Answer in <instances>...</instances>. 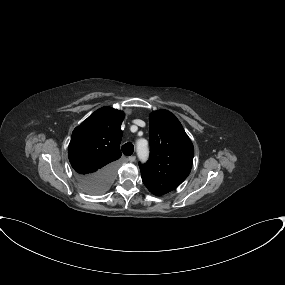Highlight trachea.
Instances as JSON below:
<instances>
[{
    "instance_id": "trachea-1",
    "label": "trachea",
    "mask_w": 285,
    "mask_h": 285,
    "mask_svg": "<svg viewBox=\"0 0 285 285\" xmlns=\"http://www.w3.org/2000/svg\"><path fill=\"white\" fill-rule=\"evenodd\" d=\"M122 152L126 155V156H130L133 154L134 152V145L130 142L128 143H125L123 146H122Z\"/></svg>"
}]
</instances>
